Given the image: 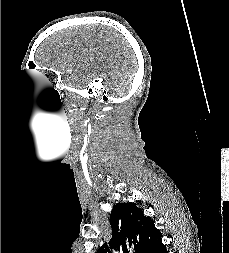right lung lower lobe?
Segmentation results:
<instances>
[{
    "label": "right lung lower lobe",
    "mask_w": 229,
    "mask_h": 253,
    "mask_svg": "<svg viewBox=\"0 0 229 253\" xmlns=\"http://www.w3.org/2000/svg\"><path fill=\"white\" fill-rule=\"evenodd\" d=\"M149 253H168L165 245L160 242H158L152 249L149 251Z\"/></svg>",
    "instance_id": "98d812e1"
}]
</instances>
